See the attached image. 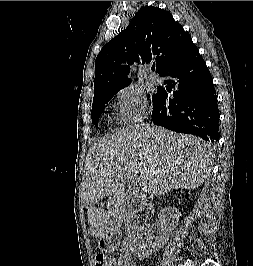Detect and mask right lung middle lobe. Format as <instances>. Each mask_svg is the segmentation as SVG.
Segmentation results:
<instances>
[{"instance_id":"1","label":"right lung middle lobe","mask_w":253,"mask_h":266,"mask_svg":"<svg viewBox=\"0 0 253 266\" xmlns=\"http://www.w3.org/2000/svg\"><path fill=\"white\" fill-rule=\"evenodd\" d=\"M115 93L116 92L108 93V94L98 98L97 100L93 101L91 118H92V121L96 127L98 126V120H99L100 115L104 111L105 105L112 99V97ZM158 95H159L158 91H157V94L153 95V103H155V101L157 100Z\"/></svg>"}]
</instances>
